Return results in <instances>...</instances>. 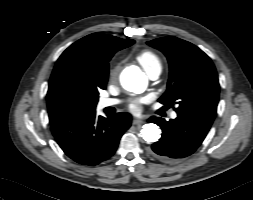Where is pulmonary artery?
<instances>
[{
    "mask_svg": "<svg viewBox=\"0 0 253 200\" xmlns=\"http://www.w3.org/2000/svg\"><path fill=\"white\" fill-rule=\"evenodd\" d=\"M161 71H162V69L157 68V69H153V70L148 71L147 74H148V76H149L150 79L156 80L160 76ZM119 102L120 101L118 99L104 98V99H101L98 102V107L100 109H104L106 107L115 106ZM170 116H171L172 119H175L177 117V113L176 112H172Z\"/></svg>",
    "mask_w": 253,
    "mask_h": 200,
    "instance_id": "obj_1",
    "label": "pulmonary artery"
}]
</instances>
